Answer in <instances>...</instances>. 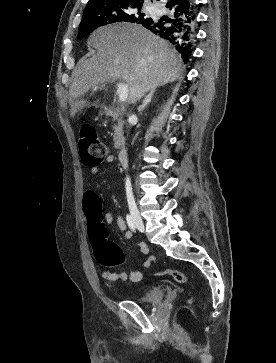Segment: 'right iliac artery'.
Returning a JSON list of instances; mask_svg holds the SVG:
<instances>
[{"mask_svg":"<svg viewBox=\"0 0 276 363\" xmlns=\"http://www.w3.org/2000/svg\"><path fill=\"white\" fill-rule=\"evenodd\" d=\"M126 221H127V224L129 226V228L132 230V231H135V224H134V221L132 219V217L130 215H127L126 216Z\"/></svg>","mask_w":276,"mask_h":363,"instance_id":"right-iliac-artery-1","label":"right iliac artery"}]
</instances>
